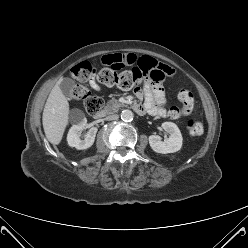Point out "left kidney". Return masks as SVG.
<instances>
[{
    "instance_id": "5707ae66",
    "label": "left kidney",
    "mask_w": 248,
    "mask_h": 248,
    "mask_svg": "<svg viewBox=\"0 0 248 248\" xmlns=\"http://www.w3.org/2000/svg\"><path fill=\"white\" fill-rule=\"evenodd\" d=\"M162 128L166 133L170 134V136L164 139V141H162L158 135L149 136V144L153 151L162 154L179 151L182 147L183 138L177 125L172 122H164L162 123Z\"/></svg>"
}]
</instances>
